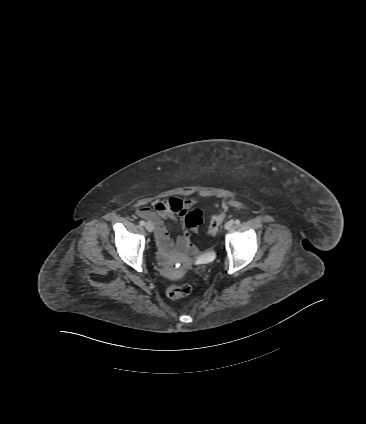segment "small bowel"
Returning a JSON list of instances; mask_svg holds the SVG:
<instances>
[{
  "mask_svg": "<svg viewBox=\"0 0 366 424\" xmlns=\"http://www.w3.org/2000/svg\"><path fill=\"white\" fill-rule=\"evenodd\" d=\"M194 203L195 201L193 199L183 200L177 197H170L157 199L154 201L152 207H142L138 210V216L148 220L153 225L158 247L162 254L170 253L175 248L184 249L189 244V235L187 233L180 235L176 241H173L169 226L165 221H176Z\"/></svg>",
  "mask_w": 366,
  "mask_h": 424,
  "instance_id": "small-bowel-1",
  "label": "small bowel"
}]
</instances>
